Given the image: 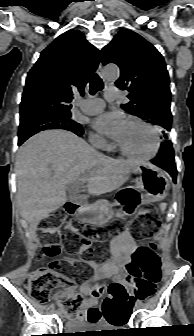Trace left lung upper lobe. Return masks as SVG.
I'll list each match as a JSON object with an SVG mask.
<instances>
[{"label": "left lung upper lobe", "mask_w": 194, "mask_h": 336, "mask_svg": "<svg viewBox=\"0 0 194 336\" xmlns=\"http://www.w3.org/2000/svg\"><path fill=\"white\" fill-rule=\"evenodd\" d=\"M102 63L120 67L116 85L127 90L129 101L122 108L166 131L171 129V92L162 55L144 38L131 30H121L102 49ZM164 133V131H163ZM168 139L167 135H164Z\"/></svg>", "instance_id": "5c2ea615"}]
</instances>
